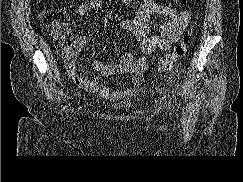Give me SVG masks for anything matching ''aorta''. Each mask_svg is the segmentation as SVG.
Segmentation results:
<instances>
[{
    "mask_svg": "<svg viewBox=\"0 0 243 182\" xmlns=\"http://www.w3.org/2000/svg\"><path fill=\"white\" fill-rule=\"evenodd\" d=\"M131 0H123L124 4H128Z\"/></svg>",
    "mask_w": 243,
    "mask_h": 182,
    "instance_id": "aorta-1",
    "label": "aorta"
}]
</instances>
